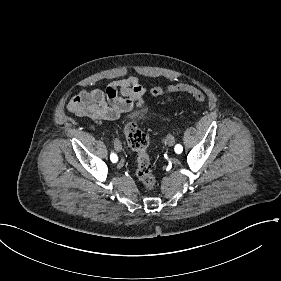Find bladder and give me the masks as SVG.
Wrapping results in <instances>:
<instances>
[{"mask_svg": "<svg viewBox=\"0 0 281 281\" xmlns=\"http://www.w3.org/2000/svg\"><path fill=\"white\" fill-rule=\"evenodd\" d=\"M124 115L126 118L134 122L143 124L150 119L152 115V111L149 104H145V105L139 104L133 107L132 109L127 110L124 113Z\"/></svg>", "mask_w": 281, "mask_h": 281, "instance_id": "bladder-1", "label": "bladder"}]
</instances>
